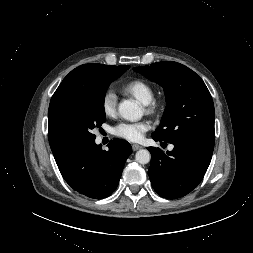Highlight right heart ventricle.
Instances as JSON below:
<instances>
[{"label":"right heart ventricle","instance_id":"obj_1","mask_svg":"<svg viewBox=\"0 0 253 253\" xmlns=\"http://www.w3.org/2000/svg\"><path fill=\"white\" fill-rule=\"evenodd\" d=\"M123 92L133 96L139 102L146 105L153 100V87L146 81L136 79L126 83L123 86Z\"/></svg>","mask_w":253,"mask_h":253}]
</instances>
